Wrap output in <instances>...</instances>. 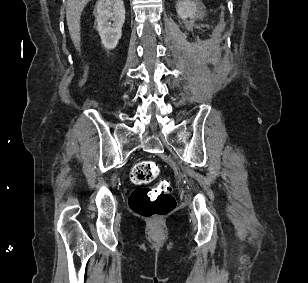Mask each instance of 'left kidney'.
Instances as JSON below:
<instances>
[{
	"instance_id": "left-kidney-1",
	"label": "left kidney",
	"mask_w": 308,
	"mask_h": 283,
	"mask_svg": "<svg viewBox=\"0 0 308 283\" xmlns=\"http://www.w3.org/2000/svg\"><path fill=\"white\" fill-rule=\"evenodd\" d=\"M201 3L198 0H184L177 3V14L185 21L187 18L194 19L198 14Z\"/></svg>"
}]
</instances>
